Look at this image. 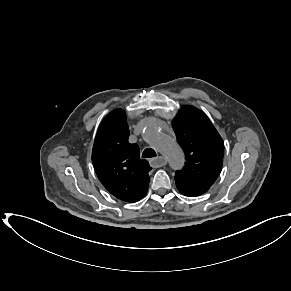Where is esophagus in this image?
Returning a JSON list of instances; mask_svg holds the SVG:
<instances>
[{
	"mask_svg": "<svg viewBox=\"0 0 291 291\" xmlns=\"http://www.w3.org/2000/svg\"><path fill=\"white\" fill-rule=\"evenodd\" d=\"M150 164L154 168L163 167L167 164V159L163 156H158L150 160Z\"/></svg>",
	"mask_w": 291,
	"mask_h": 291,
	"instance_id": "34e87169",
	"label": "esophagus"
}]
</instances>
